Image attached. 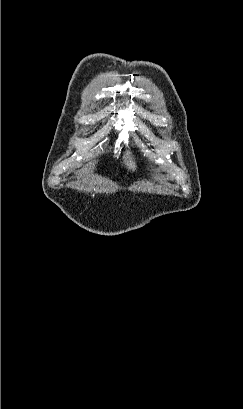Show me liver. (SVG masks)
<instances>
[{"mask_svg": "<svg viewBox=\"0 0 243 409\" xmlns=\"http://www.w3.org/2000/svg\"><path fill=\"white\" fill-rule=\"evenodd\" d=\"M123 159H124V163H125V165L128 167V169L134 171L135 168H136V165H135V162H134V160H133V157L130 156V153H126V154L123 156Z\"/></svg>", "mask_w": 243, "mask_h": 409, "instance_id": "obj_1", "label": "liver"}]
</instances>
